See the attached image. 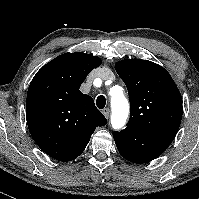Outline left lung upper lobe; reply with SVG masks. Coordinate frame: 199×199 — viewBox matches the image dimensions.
<instances>
[{"label": "left lung upper lobe", "instance_id": "1", "mask_svg": "<svg viewBox=\"0 0 199 199\" xmlns=\"http://www.w3.org/2000/svg\"><path fill=\"white\" fill-rule=\"evenodd\" d=\"M130 99L127 127L172 142L182 119V97L160 65L148 60L125 59L115 65Z\"/></svg>", "mask_w": 199, "mask_h": 199}]
</instances>
